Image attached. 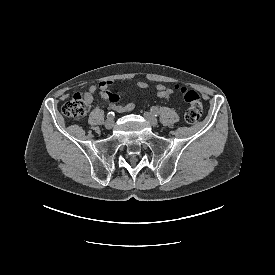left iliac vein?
<instances>
[{
  "label": "left iliac vein",
  "mask_w": 275,
  "mask_h": 275,
  "mask_svg": "<svg viewBox=\"0 0 275 275\" xmlns=\"http://www.w3.org/2000/svg\"><path fill=\"white\" fill-rule=\"evenodd\" d=\"M145 119L153 126L157 127L158 126V121L157 119L149 112L144 113Z\"/></svg>",
  "instance_id": "left-iliac-vein-1"
}]
</instances>
